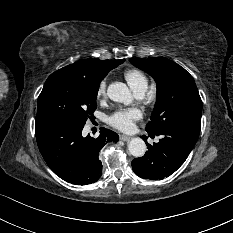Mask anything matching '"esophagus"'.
<instances>
[{"label":"esophagus","mask_w":233,"mask_h":233,"mask_svg":"<svg viewBox=\"0 0 233 233\" xmlns=\"http://www.w3.org/2000/svg\"><path fill=\"white\" fill-rule=\"evenodd\" d=\"M131 139H132L131 136L120 135V140H122V141L127 142V141H130Z\"/></svg>","instance_id":"obj_1"}]
</instances>
